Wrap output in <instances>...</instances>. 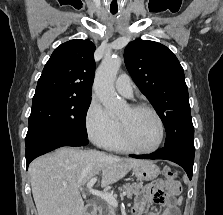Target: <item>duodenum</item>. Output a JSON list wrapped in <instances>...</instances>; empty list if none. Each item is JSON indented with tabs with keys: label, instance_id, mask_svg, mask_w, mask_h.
<instances>
[{
	"label": "duodenum",
	"instance_id": "duodenum-1",
	"mask_svg": "<svg viewBox=\"0 0 223 215\" xmlns=\"http://www.w3.org/2000/svg\"><path fill=\"white\" fill-rule=\"evenodd\" d=\"M84 215H97V209L94 204V201L88 200L85 208H84Z\"/></svg>",
	"mask_w": 223,
	"mask_h": 215
}]
</instances>
